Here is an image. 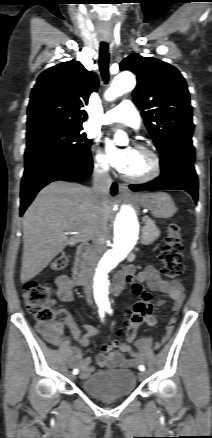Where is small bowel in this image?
<instances>
[{
  "label": "small bowel",
  "mask_w": 212,
  "mask_h": 438,
  "mask_svg": "<svg viewBox=\"0 0 212 438\" xmlns=\"http://www.w3.org/2000/svg\"><path fill=\"white\" fill-rule=\"evenodd\" d=\"M118 280L122 283L127 281L131 283L132 293L139 298L143 297L148 292L144 289L143 283H146L147 287L160 295H168L172 301L173 317L166 325L162 342H165L171 335L175 323L176 317L180 308L185 300V293L183 285L178 281H166L162 279L159 271L149 265L142 271L136 273L133 266L127 267L119 276ZM55 284L57 287V296L61 301H70L72 299V290L74 288L73 280L67 275H60L56 278ZM150 294V293H149ZM151 303H152V295ZM165 304V299L161 298L157 300L156 306H162ZM154 305L152 303V314L147 318L145 324L147 328H151L156 324V317L153 314ZM55 314L63 319V325L70 329L72 335L76 338H80V332L76 328L74 321L69 312L64 308H58L55 310ZM59 331H54L52 325H39V331L44 338L53 345L61 346V332L62 325H58ZM86 335L80 340L81 346H87L90 339L96 334L95 327L86 325ZM123 353H128L130 358H125ZM66 356L68 363L71 367H78L80 369V377L86 379L94 371L95 367L91 363L89 356H83L81 348L78 346H71L66 349ZM144 361V356L141 352L134 350L130 345L120 342L119 340H113L110 344L105 345L101 352L97 356V363L102 368H130L137 367Z\"/></svg>",
  "instance_id": "1"
}]
</instances>
